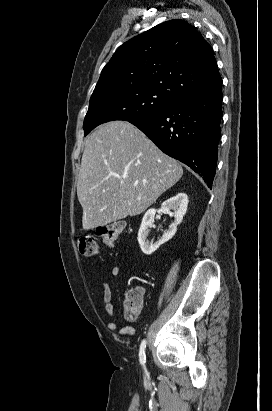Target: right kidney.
Returning <instances> with one entry per match:
<instances>
[{
    "mask_svg": "<svg viewBox=\"0 0 272 411\" xmlns=\"http://www.w3.org/2000/svg\"><path fill=\"white\" fill-rule=\"evenodd\" d=\"M188 196L185 193H178L162 203L161 209L164 213H171L174 216V222L169 226V229L162 236V238L156 243H149L147 239L149 230L153 226L156 209H149L143 216L142 223L138 232V242L142 252L146 255H150L155 252L160 245L169 241L176 233L177 226L182 222L183 217L187 211Z\"/></svg>",
    "mask_w": 272,
    "mask_h": 411,
    "instance_id": "ca27d5eb",
    "label": "right kidney"
}]
</instances>
